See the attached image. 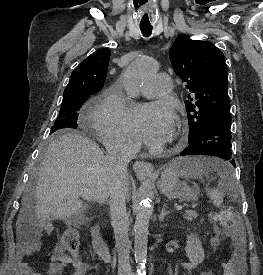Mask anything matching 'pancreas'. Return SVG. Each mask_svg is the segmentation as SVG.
Instances as JSON below:
<instances>
[{"label":"pancreas","mask_w":263,"mask_h":275,"mask_svg":"<svg viewBox=\"0 0 263 275\" xmlns=\"http://www.w3.org/2000/svg\"><path fill=\"white\" fill-rule=\"evenodd\" d=\"M198 216L197 212L194 210H187L184 214V219L186 220H192Z\"/></svg>","instance_id":"1"}]
</instances>
